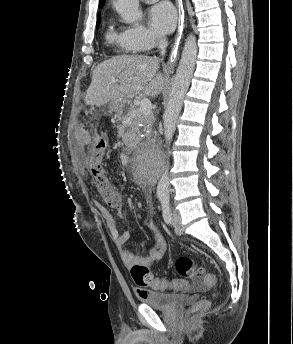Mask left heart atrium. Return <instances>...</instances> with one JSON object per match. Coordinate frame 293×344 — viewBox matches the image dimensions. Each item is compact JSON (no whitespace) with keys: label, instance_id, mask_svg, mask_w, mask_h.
Wrapping results in <instances>:
<instances>
[{"label":"left heart atrium","instance_id":"obj_1","mask_svg":"<svg viewBox=\"0 0 293 344\" xmlns=\"http://www.w3.org/2000/svg\"><path fill=\"white\" fill-rule=\"evenodd\" d=\"M148 22L155 32L168 34L173 31L176 24L175 9L167 2L154 5L148 11Z\"/></svg>","mask_w":293,"mask_h":344}]
</instances>
